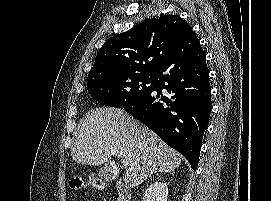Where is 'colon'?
Instances as JSON below:
<instances>
[{"label":"colon","mask_w":271,"mask_h":201,"mask_svg":"<svg viewBox=\"0 0 271 201\" xmlns=\"http://www.w3.org/2000/svg\"><path fill=\"white\" fill-rule=\"evenodd\" d=\"M72 188H91L95 190H102L104 188V185L102 181L97 178H89L88 180L76 179L72 182Z\"/></svg>","instance_id":"colon-1"}]
</instances>
